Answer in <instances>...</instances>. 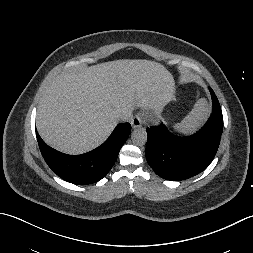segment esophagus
<instances>
[{
    "label": "esophagus",
    "instance_id": "obj_1",
    "mask_svg": "<svg viewBox=\"0 0 253 253\" xmlns=\"http://www.w3.org/2000/svg\"><path fill=\"white\" fill-rule=\"evenodd\" d=\"M131 125L133 129L141 127L142 125L141 117L139 115H135L131 120Z\"/></svg>",
    "mask_w": 253,
    "mask_h": 253
}]
</instances>
